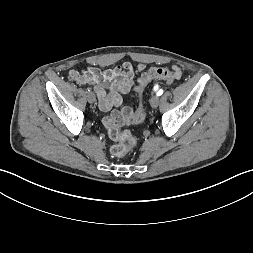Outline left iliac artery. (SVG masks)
<instances>
[{"mask_svg":"<svg viewBox=\"0 0 253 253\" xmlns=\"http://www.w3.org/2000/svg\"><path fill=\"white\" fill-rule=\"evenodd\" d=\"M155 90H156V88H155ZM163 94V90L162 89H160L159 91H157V95L158 96H160V95H162Z\"/></svg>","mask_w":253,"mask_h":253,"instance_id":"left-iliac-artery-1","label":"left iliac artery"}]
</instances>
